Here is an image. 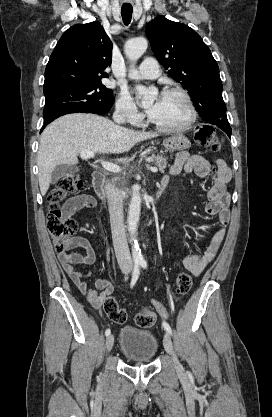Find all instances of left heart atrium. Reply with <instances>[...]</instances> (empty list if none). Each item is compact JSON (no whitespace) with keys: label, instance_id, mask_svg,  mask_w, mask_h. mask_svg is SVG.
<instances>
[{"label":"left heart atrium","instance_id":"obj_1","mask_svg":"<svg viewBox=\"0 0 272 417\" xmlns=\"http://www.w3.org/2000/svg\"><path fill=\"white\" fill-rule=\"evenodd\" d=\"M157 107H158V101H156L153 105H151V106L147 109V113H148L150 116H152V115L156 112Z\"/></svg>","mask_w":272,"mask_h":417}]
</instances>
